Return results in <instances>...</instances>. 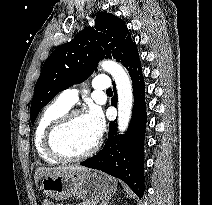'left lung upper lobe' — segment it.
Masks as SVG:
<instances>
[{"mask_svg":"<svg viewBox=\"0 0 212 205\" xmlns=\"http://www.w3.org/2000/svg\"><path fill=\"white\" fill-rule=\"evenodd\" d=\"M133 43L123 20L110 13H98L93 28H84L45 61L34 89L31 122L60 91L86 80L99 60L113 57L124 64Z\"/></svg>","mask_w":212,"mask_h":205,"instance_id":"obj_1","label":"left lung upper lobe"}]
</instances>
